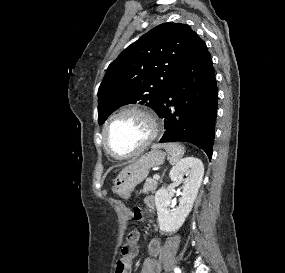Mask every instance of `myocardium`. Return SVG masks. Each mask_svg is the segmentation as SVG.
I'll return each mask as SVG.
<instances>
[{
    "instance_id": "f54148a6",
    "label": "myocardium",
    "mask_w": 285,
    "mask_h": 273,
    "mask_svg": "<svg viewBox=\"0 0 285 273\" xmlns=\"http://www.w3.org/2000/svg\"><path fill=\"white\" fill-rule=\"evenodd\" d=\"M137 114L141 117H143L150 128L149 135L148 137L132 152L127 153V154H118L114 152L108 145L107 143V132L109 129V126L111 123L118 117L125 115V114ZM161 131V123L158 118V116L149 108L144 107V106H137V105H132V106H127L124 108H121L118 110L116 113L111 115L109 119L106 121L104 124V127L102 129V143L104 146V149L113 157L118 158V159H126V158H131L133 156H136L140 152H142L144 149H146L159 135Z\"/></svg>"
}]
</instances>
